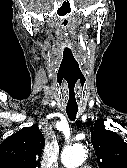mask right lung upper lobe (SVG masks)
Here are the masks:
<instances>
[{
	"mask_svg": "<svg viewBox=\"0 0 127 168\" xmlns=\"http://www.w3.org/2000/svg\"><path fill=\"white\" fill-rule=\"evenodd\" d=\"M45 138L39 127H25L0 144V168H39Z\"/></svg>",
	"mask_w": 127,
	"mask_h": 168,
	"instance_id": "obj_1",
	"label": "right lung upper lobe"
}]
</instances>
